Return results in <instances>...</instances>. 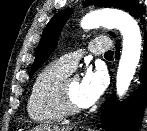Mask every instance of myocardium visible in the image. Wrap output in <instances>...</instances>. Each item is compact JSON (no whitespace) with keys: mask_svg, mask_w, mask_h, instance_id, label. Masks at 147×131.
I'll return each instance as SVG.
<instances>
[{"mask_svg":"<svg viewBox=\"0 0 147 131\" xmlns=\"http://www.w3.org/2000/svg\"><path fill=\"white\" fill-rule=\"evenodd\" d=\"M76 78L71 74L67 75L60 83L58 89L59 104L65 116H75L81 113V106L75 104L68 92V83L71 79Z\"/></svg>","mask_w":147,"mask_h":131,"instance_id":"obj_1","label":"myocardium"}]
</instances>
